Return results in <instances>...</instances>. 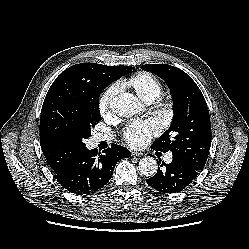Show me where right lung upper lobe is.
I'll use <instances>...</instances> for the list:
<instances>
[{
    "label": "right lung upper lobe",
    "instance_id": "1",
    "mask_svg": "<svg viewBox=\"0 0 249 249\" xmlns=\"http://www.w3.org/2000/svg\"><path fill=\"white\" fill-rule=\"evenodd\" d=\"M60 75L70 76L74 80L87 85H98L105 80L102 65L97 63L76 64L66 69ZM40 143L44 156L55 173L61 171L81 153L71 144L57 139H48L40 136Z\"/></svg>",
    "mask_w": 249,
    "mask_h": 249
}]
</instances>
